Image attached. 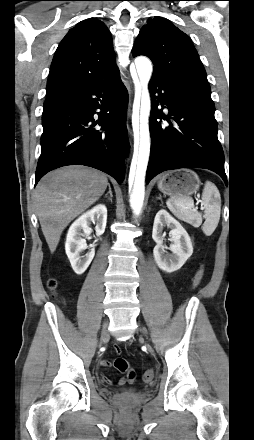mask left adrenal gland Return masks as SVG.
<instances>
[{
    "label": "left adrenal gland",
    "mask_w": 254,
    "mask_h": 440,
    "mask_svg": "<svg viewBox=\"0 0 254 440\" xmlns=\"http://www.w3.org/2000/svg\"><path fill=\"white\" fill-rule=\"evenodd\" d=\"M157 199L161 200V202H162V197H161V195H159V197H157Z\"/></svg>",
    "instance_id": "obj_1"
}]
</instances>
